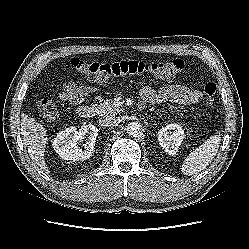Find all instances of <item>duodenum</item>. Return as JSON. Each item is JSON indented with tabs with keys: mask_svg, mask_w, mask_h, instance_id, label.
<instances>
[{
	"mask_svg": "<svg viewBox=\"0 0 249 249\" xmlns=\"http://www.w3.org/2000/svg\"><path fill=\"white\" fill-rule=\"evenodd\" d=\"M78 115L82 119H89L97 114V108L91 105H82L77 109Z\"/></svg>",
	"mask_w": 249,
	"mask_h": 249,
	"instance_id": "duodenum-1",
	"label": "duodenum"
}]
</instances>
